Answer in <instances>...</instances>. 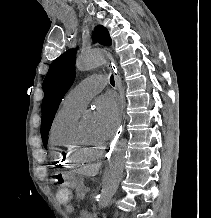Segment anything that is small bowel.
Masks as SVG:
<instances>
[{"mask_svg": "<svg viewBox=\"0 0 211 218\" xmlns=\"http://www.w3.org/2000/svg\"><path fill=\"white\" fill-rule=\"evenodd\" d=\"M66 209H67V211H72L73 206L69 204V205H67Z\"/></svg>", "mask_w": 211, "mask_h": 218, "instance_id": "1", "label": "small bowel"}]
</instances>
